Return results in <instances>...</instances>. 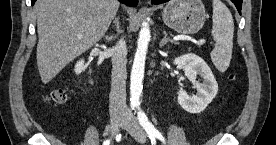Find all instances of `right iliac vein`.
<instances>
[{
	"mask_svg": "<svg viewBox=\"0 0 276 145\" xmlns=\"http://www.w3.org/2000/svg\"><path fill=\"white\" fill-rule=\"evenodd\" d=\"M123 122V116L122 115H112L110 118L111 123V133L112 136H115L118 132V128L120 124Z\"/></svg>",
	"mask_w": 276,
	"mask_h": 145,
	"instance_id": "right-iliac-vein-1",
	"label": "right iliac vein"
}]
</instances>
